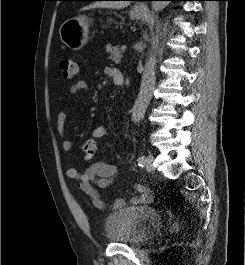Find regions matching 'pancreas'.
<instances>
[{"mask_svg":"<svg viewBox=\"0 0 245 265\" xmlns=\"http://www.w3.org/2000/svg\"><path fill=\"white\" fill-rule=\"evenodd\" d=\"M107 53L110 54L109 59L115 62L116 64L121 62V59L123 58L122 52L119 50V48L116 47H111L107 49Z\"/></svg>","mask_w":245,"mask_h":265,"instance_id":"1","label":"pancreas"}]
</instances>
